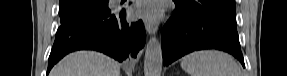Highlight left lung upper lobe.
Masks as SVG:
<instances>
[{
  "mask_svg": "<svg viewBox=\"0 0 287 76\" xmlns=\"http://www.w3.org/2000/svg\"><path fill=\"white\" fill-rule=\"evenodd\" d=\"M176 5L222 24L227 29L237 31L235 0H173Z\"/></svg>",
  "mask_w": 287,
  "mask_h": 76,
  "instance_id": "obj_1",
  "label": "left lung upper lobe"
}]
</instances>
